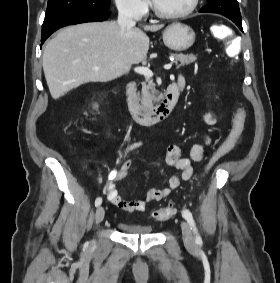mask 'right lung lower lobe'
<instances>
[{
	"mask_svg": "<svg viewBox=\"0 0 280 283\" xmlns=\"http://www.w3.org/2000/svg\"><path fill=\"white\" fill-rule=\"evenodd\" d=\"M110 13L109 11L105 13L64 12L45 17L42 25L41 43H44L59 28L85 22L104 21L110 16Z\"/></svg>",
	"mask_w": 280,
	"mask_h": 283,
	"instance_id": "right-lung-lower-lobe-1",
	"label": "right lung lower lobe"
}]
</instances>
